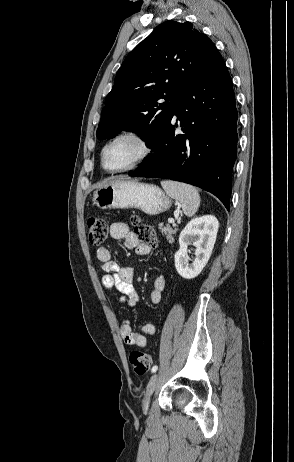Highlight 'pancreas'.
<instances>
[{
	"mask_svg": "<svg viewBox=\"0 0 294 462\" xmlns=\"http://www.w3.org/2000/svg\"><path fill=\"white\" fill-rule=\"evenodd\" d=\"M159 229L168 240L174 241V235L177 233L178 228H172L169 225L164 226L163 224H159Z\"/></svg>",
	"mask_w": 294,
	"mask_h": 462,
	"instance_id": "pancreas-1",
	"label": "pancreas"
}]
</instances>
